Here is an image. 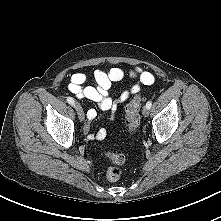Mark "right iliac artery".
Segmentation results:
<instances>
[{"mask_svg": "<svg viewBox=\"0 0 221 221\" xmlns=\"http://www.w3.org/2000/svg\"><path fill=\"white\" fill-rule=\"evenodd\" d=\"M67 102L72 106L74 105V100L71 97H67Z\"/></svg>", "mask_w": 221, "mask_h": 221, "instance_id": "obj_1", "label": "right iliac artery"}]
</instances>
